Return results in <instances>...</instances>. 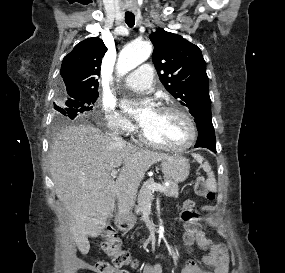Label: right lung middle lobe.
Masks as SVG:
<instances>
[{"label": "right lung middle lobe", "instance_id": "dd1d6c3e", "mask_svg": "<svg viewBox=\"0 0 285 273\" xmlns=\"http://www.w3.org/2000/svg\"><path fill=\"white\" fill-rule=\"evenodd\" d=\"M98 96L97 91L73 94H66V92L60 91L58 105L55 104V109L57 110L56 121L74 119L80 113L92 110Z\"/></svg>", "mask_w": 285, "mask_h": 273}]
</instances>
